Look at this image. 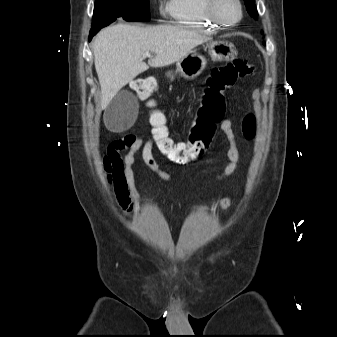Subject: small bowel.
Returning a JSON list of instances; mask_svg holds the SVG:
<instances>
[{"label":"small bowel","mask_w":337,"mask_h":337,"mask_svg":"<svg viewBox=\"0 0 337 337\" xmlns=\"http://www.w3.org/2000/svg\"><path fill=\"white\" fill-rule=\"evenodd\" d=\"M223 131L228 141V164L224 170L215 177V181H220L237 170L240 153L237 148V142L232 129V121L225 119L221 123ZM154 140L143 141L134 135H128L123 139L112 142L107 152L102 158V169L107 185L113 189L115 199L118 205L125 212H133L140 200V193L136 187L133 165L136 161V154L141 153V159L145 166L158 175L165 182L172 183L171 175L160 168L154 154ZM126 150L123 154L122 151ZM222 208L227 209L232 205V199L229 197L220 200Z\"/></svg>","instance_id":"c3829d8e"}]
</instances>
